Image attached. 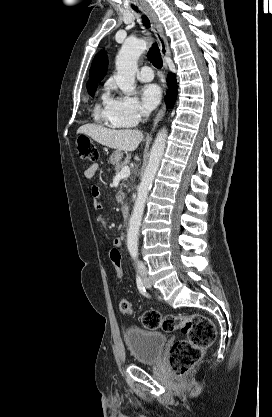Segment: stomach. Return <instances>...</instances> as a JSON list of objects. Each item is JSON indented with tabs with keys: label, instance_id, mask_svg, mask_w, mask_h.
Here are the masks:
<instances>
[{
	"label": "stomach",
	"instance_id": "obj_1",
	"mask_svg": "<svg viewBox=\"0 0 272 417\" xmlns=\"http://www.w3.org/2000/svg\"><path fill=\"white\" fill-rule=\"evenodd\" d=\"M122 156H123L122 152L120 150H116L111 154L109 161L111 164L117 165L120 163Z\"/></svg>",
	"mask_w": 272,
	"mask_h": 417
}]
</instances>
